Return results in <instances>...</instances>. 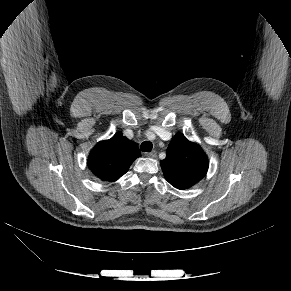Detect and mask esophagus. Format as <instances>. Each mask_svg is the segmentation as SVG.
Here are the masks:
<instances>
[{"label": "esophagus", "instance_id": "esophagus-1", "mask_svg": "<svg viewBox=\"0 0 291 291\" xmlns=\"http://www.w3.org/2000/svg\"><path fill=\"white\" fill-rule=\"evenodd\" d=\"M146 156L149 158H155L157 156V152L155 150L151 151L149 153H146Z\"/></svg>", "mask_w": 291, "mask_h": 291}]
</instances>
